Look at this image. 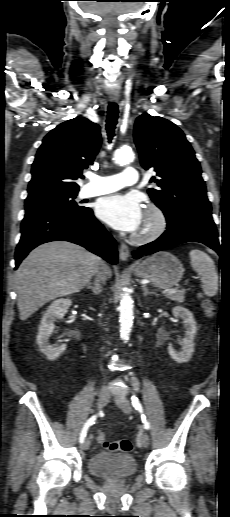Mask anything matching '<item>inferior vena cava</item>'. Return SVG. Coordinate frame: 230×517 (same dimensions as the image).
I'll return each instance as SVG.
<instances>
[{"label":"inferior vena cava","mask_w":230,"mask_h":517,"mask_svg":"<svg viewBox=\"0 0 230 517\" xmlns=\"http://www.w3.org/2000/svg\"><path fill=\"white\" fill-rule=\"evenodd\" d=\"M107 279V275L105 274V272L103 270H100L97 275H96V280L98 283L99 282H102V283H105Z\"/></svg>","instance_id":"602c4592"}]
</instances>
